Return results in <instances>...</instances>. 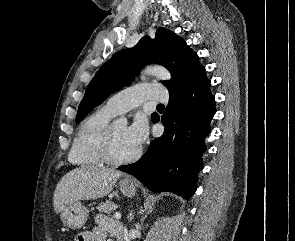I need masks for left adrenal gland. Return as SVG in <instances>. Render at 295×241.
Here are the masks:
<instances>
[{
	"instance_id": "obj_1",
	"label": "left adrenal gland",
	"mask_w": 295,
	"mask_h": 241,
	"mask_svg": "<svg viewBox=\"0 0 295 241\" xmlns=\"http://www.w3.org/2000/svg\"><path fill=\"white\" fill-rule=\"evenodd\" d=\"M129 221L131 222L132 220H133V218H134V213H133V211H130V215H129Z\"/></svg>"
}]
</instances>
